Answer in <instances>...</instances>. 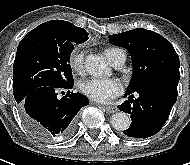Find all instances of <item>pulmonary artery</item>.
<instances>
[{
  "mask_svg": "<svg viewBox=\"0 0 190 165\" xmlns=\"http://www.w3.org/2000/svg\"><path fill=\"white\" fill-rule=\"evenodd\" d=\"M125 58H126L125 53L124 51H122L113 65L115 67H121L125 62Z\"/></svg>",
  "mask_w": 190,
  "mask_h": 165,
  "instance_id": "pulmonary-artery-1",
  "label": "pulmonary artery"
}]
</instances>
